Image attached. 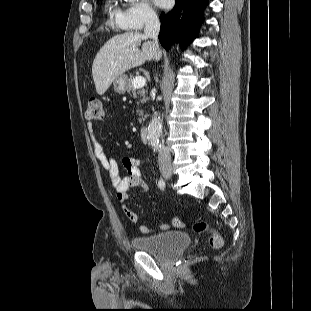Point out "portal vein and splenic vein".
I'll return each mask as SVG.
<instances>
[{
  "instance_id": "portal-vein-and-splenic-vein-1",
  "label": "portal vein and splenic vein",
  "mask_w": 311,
  "mask_h": 311,
  "mask_svg": "<svg viewBox=\"0 0 311 311\" xmlns=\"http://www.w3.org/2000/svg\"><path fill=\"white\" fill-rule=\"evenodd\" d=\"M132 84L134 88H142L146 84V79L142 76H137L133 79Z\"/></svg>"
}]
</instances>
